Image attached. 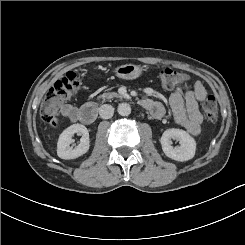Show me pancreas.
<instances>
[{"label":"pancreas","mask_w":245,"mask_h":245,"mask_svg":"<svg viewBox=\"0 0 245 245\" xmlns=\"http://www.w3.org/2000/svg\"><path fill=\"white\" fill-rule=\"evenodd\" d=\"M118 94L116 92H109L107 94H101L97 97V100L100 101L101 103L105 102L106 100L116 97ZM122 97V96H121Z\"/></svg>","instance_id":"1"}]
</instances>
